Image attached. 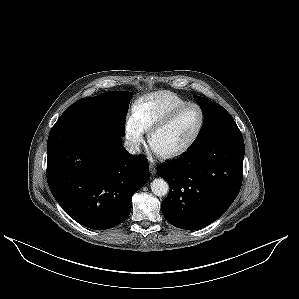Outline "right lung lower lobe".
<instances>
[{
	"instance_id": "obj_1",
	"label": "right lung lower lobe",
	"mask_w": 299,
	"mask_h": 299,
	"mask_svg": "<svg viewBox=\"0 0 299 299\" xmlns=\"http://www.w3.org/2000/svg\"><path fill=\"white\" fill-rule=\"evenodd\" d=\"M147 159L129 154L105 129L57 122L47 142V181L60 206L93 230L119 225L148 180Z\"/></svg>"
}]
</instances>
